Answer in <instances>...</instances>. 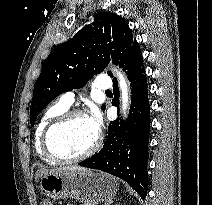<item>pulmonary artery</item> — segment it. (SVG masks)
I'll return each instance as SVG.
<instances>
[{
  "label": "pulmonary artery",
  "instance_id": "obj_1",
  "mask_svg": "<svg viewBox=\"0 0 212 205\" xmlns=\"http://www.w3.org/2000/svg\"><path fill=\"white\" fill-rule=\"evenodd\" d=\"M94 85L95 88L99 90L107 91L110 90V88L112 87V82L108 76L101 75L96 78ZM74 100L75 94L72 91L63 93L59 99V101L67 107H70L73 104Z\"/></svg>",
  "mask_w": 212,
  "mask_h": 205
}]
</instances>
